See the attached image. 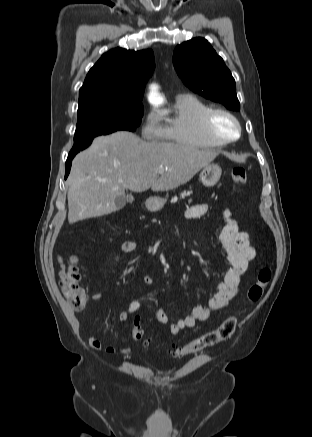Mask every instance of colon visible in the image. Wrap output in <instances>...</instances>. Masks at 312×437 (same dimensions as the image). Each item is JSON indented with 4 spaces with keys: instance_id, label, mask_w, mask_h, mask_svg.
Instances as JSON below:
<instances>
[{
    "instance_id": "1",
    "label": "colon",
    "mask_w": 312,
    "mask_h": 437,
    "mask_svg": "<svg viewBox=\"0 0 312 437\" xmlns=\"http://www.w3.org/2000/svg\"><path fill=\"white\" fill-rule=\"evenodd\" d=\"M246 180V170L243 167H235L232 170L231 182L234 186L243 185ZM61 263L60 285L63 293L67 297L71 308L79 310L87 304L88 295L80 285L78 259L75 256H71L67 259L62 258ZM271 276L272 273L268 267L260 269L256 281L250 285L247 291L248 302L255 303L261 299L271 280ZM237 321V316H229L216 329L205 333L183 346H175L172 353L177 356L189 355L226 341L234 334ZM141 324V318L136 316L132 323V336L136 341L148 345L149 341L144 337Z\"/></svg>"
}]
</instances>
